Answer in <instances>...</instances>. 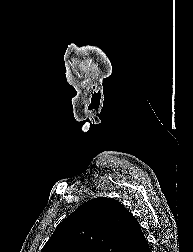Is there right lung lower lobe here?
Returning a JSON list of instances; mask_svg holds the SVG:
<instances>
[{"label": "right lung lower lobe", "mask_w": 193, "mask_h": 252, "mask_svg": "<svg viewBox=\"0 0 193 252\" xmlns=\"http://www.w3.org/2000/svg\"><path fill=\"white\" fill-rule=\"evenodd\" d=\"M130 252H151L144 236L139 241V243L130 250Z\"/></svg>", "instance_id": "right-lung-lower-lobe-1"}]
</instances>
